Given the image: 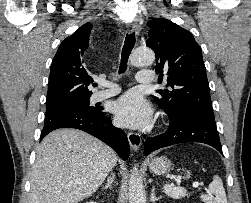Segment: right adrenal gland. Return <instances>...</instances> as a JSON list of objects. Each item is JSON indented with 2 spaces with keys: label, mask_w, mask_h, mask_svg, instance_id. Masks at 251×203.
I'll return each instance as SVG.
<instances>
[{
  "label": "right adrenal gland",
  "mask_w": 251,
  "mask_h": 203,
  "mask_svg": "<svg viewBox=\"0 0 251 203\" xmlns=\"http://www.w3.org/2000/svg\"><path fill=\"white\" fill-rule=\"evenodd\" d=\"M114 179H115L114 174L110 175L107 179V184L105 186H103L102 189H107V188L111 189L112 188L111 186H112Z\"/></svg>",
  "instance_id": "1"
}]
</instances>
